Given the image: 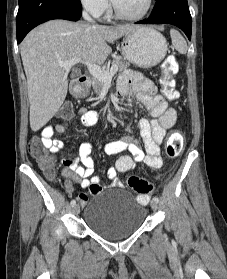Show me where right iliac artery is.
Segmentation results:
<instances>
[{"label":"right iliac artery","instance_id":"1","mask_svg":"<svg viewBox=\"0 0 227 279\" xmlns=\"http://www.w3.org/2000/svg\"><path fill=\"white\" fill-rule=\"evenodd\" d=\"M76 204V201L75 200H72L71 201V206H74Z\"/></svg>","mask_w":227,"mask_h":279}]
</instances>
